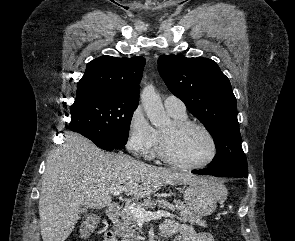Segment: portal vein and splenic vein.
<instances>
[{"instance_id": "1", "label": "portal vein and splenic vein", "mask_w": 295, "mask_h": 241, "mask_svg": "<svg viewBox=\"0 0 295 241\" xmlns=\"http://www.w3.org/2000/svg\"><path fill=\"white\" fill-rule=\"evenodd\" d=\"M123 191H124V188L122 186H118L111 189L110 193L114 196H117L122 194ZM128 209L138 221L151 220V219H155L159 217H173V214H170L169 212H166V211L150 212V211H146L142 206L136 205V204H132L128 206Z\"/></svg>"}]
</instances>
